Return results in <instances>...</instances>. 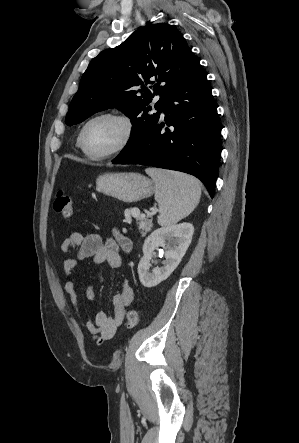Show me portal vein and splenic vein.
Segmentation results:
<instances>
[{
	"label": "portal vein and splenic vein",
	"instance_id": "obj_1",
	"mask_svg": "<svg viewBox=\"0 0 299 443\" xmlns=\"http://www.w3.org/2000/svg\"><path fill=\"white\" fill-rule=\"evenodd\" d=\"M154 211L150 212L149 214L152 215Z\"/></svg>",
	"mask_w": 299,
	"mask_h": 443
}]
</instances>
